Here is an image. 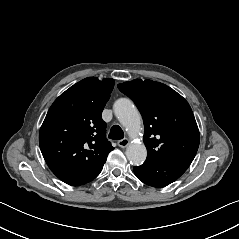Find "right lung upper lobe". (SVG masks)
<instances>
[{"label": "right lung upper lobe", "instance_id": "right-lung-upper-lobe-1", "mask_svg": "<svg viewBox=\"0 0 239 239\" xmlns=\"http://www.w3.org/2000/svg\"><path fill=\"white\" fill-rule=\"evenodd\" d=\"M113 87L110 78H85L51 105L40 129L39 145L53 173H87L106 161L114 147L106 138L101 113Z\"/></svg>", "mask_w": 239, "mask_h": 239}]
</instances>
